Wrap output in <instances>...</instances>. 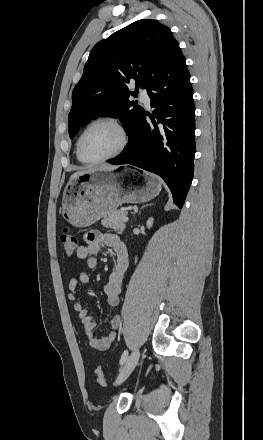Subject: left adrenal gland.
Instances as JSON below:
<instances>
[{
	"label": "left adrenal gland",
	"mask_w": 263,
	"mask_h": 440,
	"mask_svg": "<svg viewBox=\"0 0 263 440\" xmlns=\"http://www.w3.org/2000/svg\"><path fill=\"white\" fill-rule=\"evenodd\" d=\"M146 206H148V205L143 206L141 209H143V208L146 207Z\"/></svg>",
	"instance_id": "1"
}]
</instances>
